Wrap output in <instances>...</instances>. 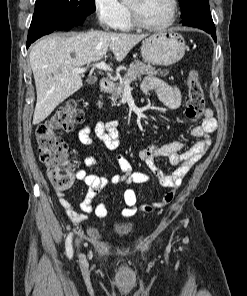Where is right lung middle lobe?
<instances>
[{
    "instance_id": "1",
    "label": "right lung middle lobe",
    "mask_w": 247,
    "mask_h": 296,
    "mask_svg": "<svg viewBox=\"0 0 247 296\" xmlns=\"http://www.w3.org/2000/svg\"><path fill=\"white\" fill-rule=\"evenodd\" d=\"M95 11L94 0H36L31 23L51 16L78 21Z\"/></svg>"
}]
</instances>
